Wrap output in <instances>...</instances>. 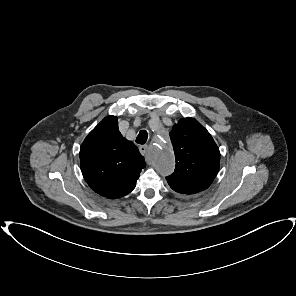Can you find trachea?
<instances>
[{"mask_svg": "<svg viewBox=\"0 0 296 296\" xmlns=\"http://www.w3.org/2000/svg\"><path fill=\"white\" fill-rule=\"evenodd\" d=\"M148 139V133L146 130H141L136 138V143L145 144Z\"/></svg>", "mask_w": 296, "mask_h": 296, "instance_id": "3493384b", "label": "trachea"}]
</instances>
